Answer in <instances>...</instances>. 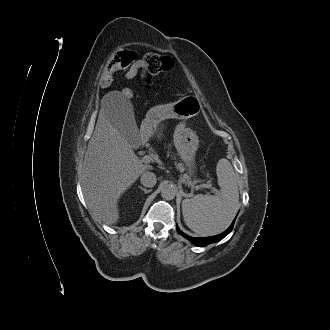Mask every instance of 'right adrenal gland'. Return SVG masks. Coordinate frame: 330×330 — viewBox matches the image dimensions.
<instances>
[{
  "label": "right adrenal gland",
  "mask_w": 330,
  "mask_h": 330,
  "mask_svg": "<svg viewBox=\"0 0 330 330\" xmlns=\"http://www.w3.org/2000/svg\"><path fill=\"white\" fill-rule=\"evenodd\" d=\"M142 191H144L145 194H147L148 192H150V190H147L146 188L142 187V186H138Z\"/></svg>",
  "instance_id": "1"
}]
</instances>
